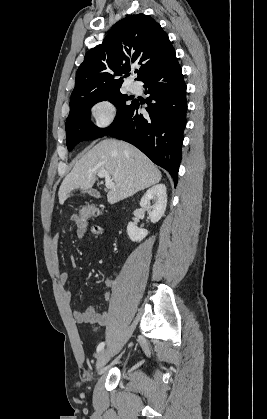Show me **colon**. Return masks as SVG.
<instances>
[{
    "instance_id": "obj_1",
    "label": "colon",
    "mask_w": 267,
    "mask_h": 419,
    "mask_svg": "<svg viewBox=\"0 0 267 419\" xmlns=\"http://www.w3.org/2000/svg\"><path fill=\"white\" fill-rule=\"evenodd\" d=\"M98 211L93 205H87L81 208L78 213V220L80 222H88L89 219L95 217Z\"/></svg>"
}]
</instances>
